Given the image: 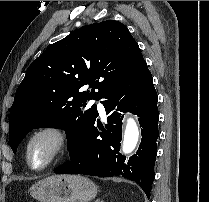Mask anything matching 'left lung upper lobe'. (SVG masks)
Returning <instances> with one entry per match:
<instances>
[{"mask_svg":"<svg viewBox=\"0 0 209 202\" xmlns=\"http://www.w3.org/2000/svg\"><path fill=\"white\" fill-rule=\"evenodd\" d=\"M145 63L125 25L114 20L90 24L49 46L28 67L9 115V144L19 143L34 128L65 130L68 150L80 142L96 114L99 100ZM82 87L87 91L79 92Z\"/></svg>","mask_w":209,"mask_h":202,"instance_id":"5c2ea615","label":"left lung upper lobe"}]
</instances>
